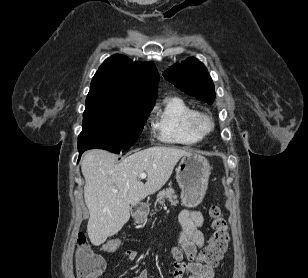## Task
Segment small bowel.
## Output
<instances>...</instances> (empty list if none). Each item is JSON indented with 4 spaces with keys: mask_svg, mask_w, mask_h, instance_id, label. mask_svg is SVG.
I'll return each mask as SVG.
<instances>
[{
    "mask_svg": "<svg viewBox=\"0 0 308 278\" xmlns=\"http://www.w3.org/2000/svg\"><path fill=\"white\" fill-rule=\"evenodd\" d=\"M182 230L177 236L176 244L171 250L174 270L171 278H213L214 270L196 261L197 252L204 246L205 238L201 231L204 224L203 215L192 209H184L179 214ZM119 257L129 261L136 260L141 252L136 249L117 250ZM188 259V262L184 261ZM105 268V262H104ZM133 278H149L146 269H142Z\"/></svg>",
    "mask_w": 308,
    "mask_h": 278,
    "instance_id": "c3829d8e",
    "label": "small bowel"
}]
</instances>
